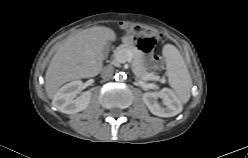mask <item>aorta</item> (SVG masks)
<instances>
[{
    "label": "aorta",
    "mask_w": 248,
    "mask_h": 158,
    "mask_svg": "<svg viewBox=\"0 0 248 158\" xmlns=\"http://www.w3.org/2000/svg\"><path fill=\"white\" fill-rule=\"evenodd\" d=\"M122 78L125 79V75L121 74L120 79H122ZM117 79L119 80V75L117 76Z\"/></svg>",
    "instance_id": "1"
}]
</instances>
